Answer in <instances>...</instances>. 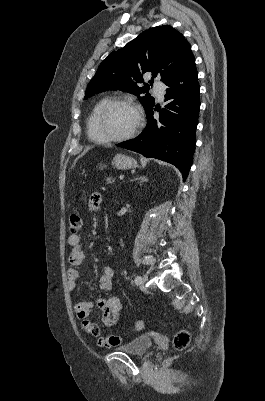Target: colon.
I'll return each mask as SVG.
<instances>
[{
  "mask_svg": "<svg viewBox=\"0 0 265 401\" xmlns=\"http://www.w3.org/2000/svg\"><path fill=\"white\" fill-rule=\"evenodd\" d=\"M69 229L71 232H77L80 230L82 226V217L79 212L74 211L70 214L69 219ZM144 327V323L142 321H137L134 325V330L139 331ZM190 342V334L187 330L178 331L173 339L174 347L178 350L185 349Z\"/></svg>",
  "mask_w": 265,
  "mask_h": 401,
  "instance_id": "colon-1",
  "label": "colon"
}]
</instances>
